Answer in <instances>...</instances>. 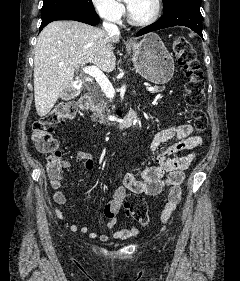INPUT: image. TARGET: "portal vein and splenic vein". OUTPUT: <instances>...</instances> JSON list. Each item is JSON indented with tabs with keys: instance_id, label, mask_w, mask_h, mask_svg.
Returning <instances> with one entry per match:
<instances>
[{
	"instance_id": "portal-vein-and-splenic-vein-1",
	"label": "portal vein and splenic vein",
	"mask_w": 240,
	"mask_h": 281,
	"mask_svg": "<svg viewBox=\"0 0 240 281\" xmlns=\"http://www.w3.org/2000/svg\"><path fill=\"white\" fill-rule=\"evenodd\" d=\"M83 72L90 75L91 77L95 78L101 90L108 98H112L115 95V90L108 80V78L104 75V73L95 66H88L83 68ZM147 91H154L155 87H147Z\"/></svg>"
}]
</instances>
